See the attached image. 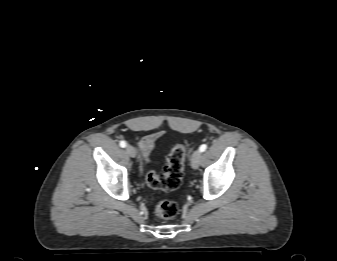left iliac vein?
I'll use <instances>...</instances> for the list:
<instances>
[{
	"instance_id": "4c4485c4",
	"label": "left iliac vein",
	"mask_w": 337,
	"mask_h": 261,
	"mask_svg": "<svg viewBox=\"0 0 337 261\" xmlns=\"http://www.w3.org/2000/svg\"><path fill=\"white\" fill-rule=\"evenodd\" d=\"M201 157H202V154L200 150H196L193 152L191 156V160H190L192 168L197 169L199 167Z\"/></svg>"
}]
</instances>
